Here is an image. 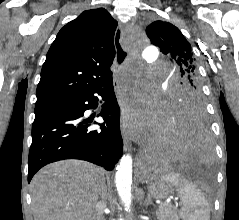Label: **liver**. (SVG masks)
Returning <instances> with one entry per match:
<instances>
[{"instance_id": "obj_1", "label": "liver", "mask_w": 239, "mask_h": 220, "mask_svg": "<svg viewBox=\"0 0 239 220\" xmlns=\"http://www.w3.org/2000/svg\"><path fill=\"white\" fill-rule=\"evenodd\" d=\"M105 171L80 160L42 168L31 181L34 220H92Z\"/></svg>"}]
</instances>
